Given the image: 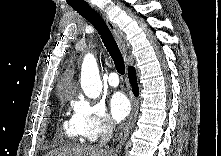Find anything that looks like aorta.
Segmentation results:
<instances>
[{"mask_svg":"<svg viewBox=\"0 0 221 156\" xmlns=\"http://www.w3.org/2000/svg\"><path fill=\"white\" fill-rule=\"evenodd\" d=\"M81 88L84 94L91 98L97 99L102 91V82L95 57L87 54L84 57L81 69Z\"/></svg>","mask_w":221,"mask_h":156,"instance_id":"obj_1","label":"aorta"}]
</instances>
